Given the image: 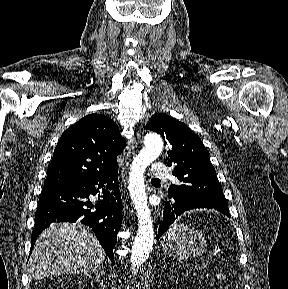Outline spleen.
<instances>
[{"mask_svg":"<svg viewBox=\"0 0 288 289\" xmlns=\"http://www.w3.org/2000/svg\"><path fill=\"white\" fill-rule=\"evenodd\" d=\"M179 226H180V225H174V226H172V227L166 232V236H167V235H170V234H174L175 231H176V229H177V227H179ZM181 226L186 227V226H184V225H181Z\"/></svg>","mask_w":288,"mask_h":289,"instance_id":"3e777b00","label":"spleen"}]
</instances>
